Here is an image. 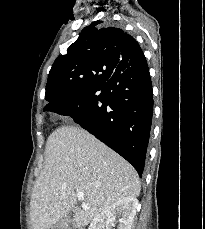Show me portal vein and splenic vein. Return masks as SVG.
Listing matches in <instances>:
<instances>
[{
    "instance_id": "obj_1",
    "label": "portal vein and splenic vein",
    "mask_w": 205,
    "mask_h": 229,
    "mask_svg": "<svg viewBox=\"0 0 205 229\" xmlns=\"http://www.w3.org/2000/svg\"><path fill=\"white\" fill-rule=\"evenodd\" d=\"M76 196H77L78 200L84 199V193L83 192H77Z\"/></svg>"
}]
</instances>
